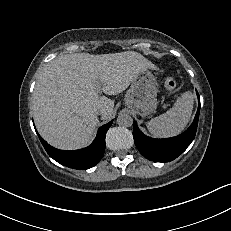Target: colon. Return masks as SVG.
I'll return each mask as SVG.
<instances>
[{"mask_svg":"<svg viewBox=\"0 0 231 231\" xmlns=\"http://www.w3.org/2000/svg\"><path fill=\"white\" fill-rule=\"evenodd\" d=\"M176 85V81L173 78L168 77L165 79L164 86L167 90H174Z\"/></svg>","mask_w":231,"mask_h":231,"instance_id":"obj_1","label":"colon"}]
</instances>
